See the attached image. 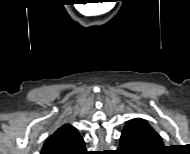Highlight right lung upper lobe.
Wrapping results in <instances>:
<instances>
[{
  "label": "right lung upper lobe",
  "mask_w": 190,
  "mask_h": 154,
  "mask_svg": "<svg viewBox=\"0 0 190 154\" xmlns=\"http://www.w3.org/2000/svg\"><path fill=\"white\" fill-rule=\"evenodd\" d=\"M83 151V138L76 128L65 124L47 138L41 154H82Z\"/></svg>",
  "instance_id": "1"
}]
</instances>
